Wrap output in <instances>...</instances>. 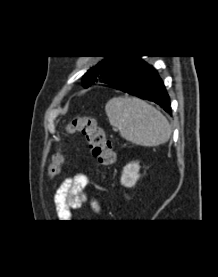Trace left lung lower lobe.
I'll use <instances>...</instances> for the list:
<instances>
[{
	"label": "left lung lower lobe",
	"instance_id": "0a47b994",
	"mask_svg": "<svg viewBox=\"0 0 218 277\" xmlns=\"http://www.w3.org/2000/svg\"><path fill=\"white\" fill-rule=\"evenodd\" d=\"M103 83L112 88L148 99L171 114V107L165 86L154 68L135 57L122 69L112 73Z\"/></svg>",
	"mask_w": 218,
	"mask_h": 277
}]
</instances>
